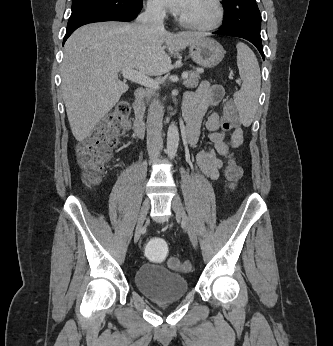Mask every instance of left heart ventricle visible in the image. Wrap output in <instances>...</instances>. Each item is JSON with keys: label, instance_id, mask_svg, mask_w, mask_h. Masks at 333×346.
Returning a JSON list of instances; mask_svg holds the SVG:
<instances>
[{"label": "left heart ventricle", "instance_id": "obj_1", "mask_svg": "<svg viewBox=\"0 0 333 346\" xmlns=\"http://www.w3.org/2000/svg\"><path fill=\"white\" fill-rule=\"evenodd\" d=\"M181 15L196 22L206 23L213 18L214 7L211 0H190Z\"/></svg>", "mask_w": 333, "mask_h": 346}]
</instances>
